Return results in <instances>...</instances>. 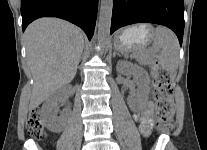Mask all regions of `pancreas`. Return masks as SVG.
Returning <instances> with one entry per match:
<instances>
[{
  "label": "pancreas",
  "mask_w": 207,
  "mask_h": 150,
  "mask_svg": "<svg viewBox=\"0 0 207 150\" xmlns=\"http://www.w3.org/2000/svg\"><path fill=\"white\" fill-rule=\"evenodd\" d=\"M136 58L140 64L148 65L152 61V55L150 52H138Z\"/></svg>",
  "instance_id": "pancreas-1"
}]
</instances>
